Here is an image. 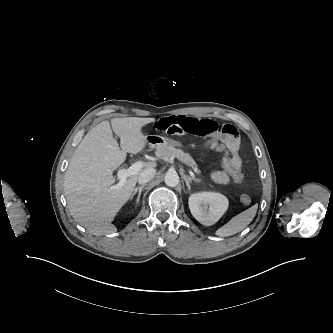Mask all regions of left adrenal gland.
I'll return each instance as SVG.
<instances>
[{"instance_id": "left-adrenal-gland-1", "label": "left adrenal gland", "mask_w": 333, "mask_h": 333, "mask_svg": "<svg viewBox=\"0 0 333 333\" xmlns=\"http://www.w3.org/2000/svg\"><path fill=\"white\" fill-rule=\"evenodd\" d=\"M183 179L186 182V186L188 187V190H191L190 183H192V181H194V182H200L199 179L191 178V177L185 176V175L183 176Z\"/></svg>"}]
</instances>
